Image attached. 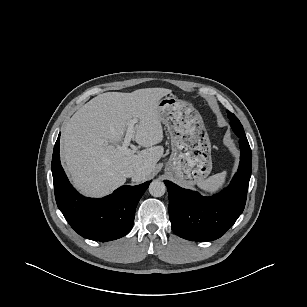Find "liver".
Returning <instances> with one entry per match:
<instances>
[{"mask_svg":"<svg viewBox=\"0 0 307 307\" xmlns=\"http://www.w3.org/2000/svg\"><path fill=\"white\" fill-rule=\"evenodd\" d=\"M170 89L145 88L131 93L100 94L71 117L61 136V157L74 186L84 195L101 197L126 182L124 170L139 174L134 182L145 181L161 159L163 129L158 103ZM137 120L134 140L146 149L124 154L118 149L128 124Z\"/></svg>","mask_w":307,"mask_h":307,"instance_id":"1","label":"liver"}]
</instances>
